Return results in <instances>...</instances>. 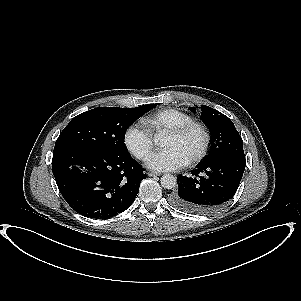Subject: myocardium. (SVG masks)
<instances>
[{
    "mask_svg": "<svg viewBox=\"0 0 301 301\" xmlns=\"http://www.w3.org/2000/svg\"><path fill=\"white\" fill-rule=\"evenodd\" d=\"M193 128H196L201 132L202 142H201V145L198 148V150L193 155H191L190 158L187 159V163H190V164L195 163L198 160H200L205 155L208 145H209V134H208L205 126L202 123L196 122V121L186 123L179 127L165 131L163 134V137H162V139H164L165 137H180V136H183L184 134H186L188 131H190Z\"/></svg>",
    "mask_w": 301,
    "mask_h": 301,
    "instance_id": "myocardium-1",
    "label": "myocardium"
}]
</instances>
